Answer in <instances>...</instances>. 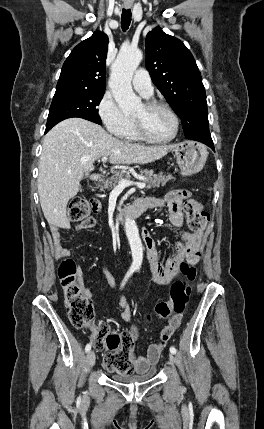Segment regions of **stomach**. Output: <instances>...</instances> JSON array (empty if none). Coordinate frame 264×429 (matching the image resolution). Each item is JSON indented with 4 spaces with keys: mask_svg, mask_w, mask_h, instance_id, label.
Segmentation results:
<instances>
[{
    "mask_svg": "<svg viewBox=\"0 0 264 429\" xmlns=\"http://www.w3.org/2000/svg\"><path fill=\"white\" fill-rule=\"evenodd\" d=\"M174 156L183 176H190L202 170L208 152L206 147L197 142H181L175 145Z\"/></svg>",
    "mask_w": 264,
    "mask_h": 429,
    "instance_id": "stomach-1",
    "label": "stomach"
}]
</instances>
